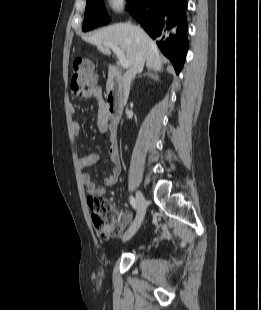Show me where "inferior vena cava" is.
Segmentation results:
<instances>
[{
    "instance_id": "602c4592",
    "label": "inferior vena cava",
    "mask_w": 261,
    "mask_h": 310,
    "mask_svg": "<svg viewBox=\"0 0 261 310\" xmlns=\"http://www.w3.org/2000/svg\"><path fill=\"white\" fill-rule=\"evenodd\" d=\"M145 62V56L142 49H139L134 64L130 67V69L123 75V102L126 104L129 92L131 81L134 79L135 75L142 71Z\"/></svg>"
}]
</instances>
